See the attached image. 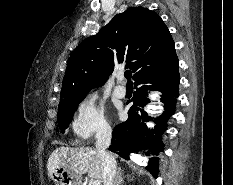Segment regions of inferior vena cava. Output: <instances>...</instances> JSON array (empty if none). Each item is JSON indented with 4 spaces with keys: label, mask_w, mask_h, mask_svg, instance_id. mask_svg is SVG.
I'll return each instance as SVG.
<instances>
[{
    "label": "inferior vena cava",
    "mask_w": 233,
    "mask_h": 185,
    "mask_svg": "<svg viewBox=\"0 0 233 185\" xmlns=\"http://www.w3.org/2000/svg\"><path fill=\"white\" fill-rule=\"evenodd\" d=\"M112 137V129L110 126L102 127L96 134V150L101 156L103 174V185H113V179L116 176V161L114 156L107 152Z\"/></svg>",
    "instance_id": "inferior-vena-cava-1"
}]
</instances>
